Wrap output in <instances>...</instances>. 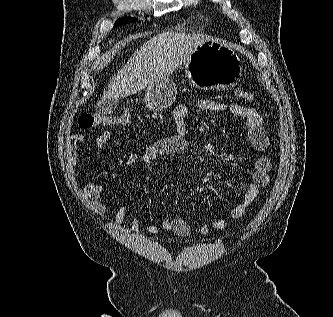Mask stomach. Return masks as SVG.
Listing matches in <instances>:
<instances>
[{
  "mask_svg": "<svg viewBox=\"0 0 333 317\" xmlns=\"http://www.w3.org/2000/svg\"><path fill=\"white\" fill-rule=\"evenodd\" d=\"M191 83L202 90H221L235 85L242 72L241 59L229 45L209 40L197 46L184 63ZM177 90L170 78L148 86L144 102L148 109L161 111L175 100Z\"/></svg>",
  "mask_w": 333,
  "mask_h": 317,
  "instance_id": "stomach-1",
  "label": "stomach"
}]
</instances>
